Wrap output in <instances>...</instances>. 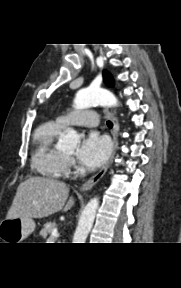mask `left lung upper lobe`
Listing matches in <instances>:
<instances>
[{
    "label": "left lung upper lobe",
    "instance_id": "left-lung-upper-lobe-1",
    "mask_svg": "<svg viewBox=\"0 0 181 288\" xmlns=\"http://www.w3.org/2000/svg\"><path fill=\"white\" fill-rule=\"evenodd\" d=\"M103 80L108 86L114 85L113 78L108 71H103Z\"/></svg>",
    "mask_w": 181,
    "mask_h": 288
}]
</instances>
